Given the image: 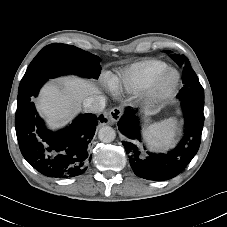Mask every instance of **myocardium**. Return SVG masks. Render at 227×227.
<instances>
[{"label": "myocardium", "mask_w": 227, "mask_h": 227, "mask_svg": "<svg viewBox=\"0 0 227 227\" xmlns=\"http://www.w3.org/2000/svg\"><path fill=\"white\" fill-rule=\"evenodd\" d=\"M169 74H173L174 78L171 82L165 81ZM180 80V74L175 68H167L162 71L151 83V85L145 89L144 99L148 102L158 103L169 98L176 90Z\"/></svg>", "instance_id": "myocardium-1"}]
</instances>
